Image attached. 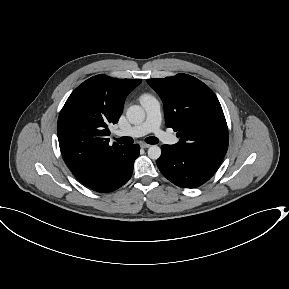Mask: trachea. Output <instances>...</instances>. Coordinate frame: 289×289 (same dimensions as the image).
<instances>
[{
    "instance_id": "trachea-1",
    "label": "trachea",
    "mask_w": 289,
    "mask_h": 289,
    "mask_svg": "<svg viewBox=\"0 0 289 289\" xmlns=\"http://www.w3.org/2000/svg\"><path fill=\"white\" fill-rule=\"evenodd\" d=\"M148 144H157L159 141L156 137H148L145 140ZM117 142L120 144H131L133 139L131 137H121L117 139Z\"/></svg>"
}]
</instances>
